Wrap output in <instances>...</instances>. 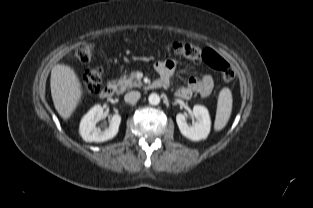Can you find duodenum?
<instances>
[{"label":"duodenum","mask_w":313,"mask_h":208,"mask_svg":"<svg viewBox=\"0 0 313 208\" xmlns=\"http://www.w3.org/2000/svg\"><path fill=\"white\" fill-rule=\"evenodd\" d=\"M166 85V82L163 80H156L152 83L153 87H163ZM116 90V87L114 84H107L103 87V89L101 90L100 96L103 99H107L110 98L114 95Z\"/></svg>","instance_id":"duodenum-1"}]
</instances>
